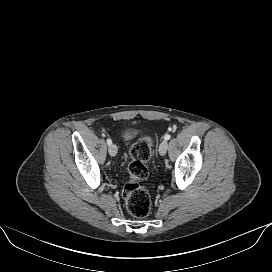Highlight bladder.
Instances as JSON below:
<instances>
[{
	"mask_svg": "<svg viewBox=\"0 0 272 272\" xmlns=\"http://www.w3.org/2000/svg\"><path fill=\"white\" fill-rule=\"evenodd\" d=\"M136 135V131L133 129H127L124 132V137L126 141H131Z\"/></svg>",
	"mask_w": 272,
	"mask_h": 272,
	"instance_id": "1",
	"label": "bladder"
}]
</instances>
